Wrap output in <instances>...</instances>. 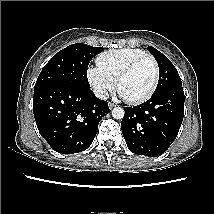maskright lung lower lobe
Returning a JSON list of instances; mask_svg holds the SVG:
<instances>
[{"mask_svg":"<svg viewBox=\"0 0 214 214\" xmlns=\"http://www.w3.org/2000/svg\"><path fill=\"white\" fill-rule=\"evenodd\" d=\"M109 111L108 103L91 89L63 83L34 88L33 113L38 130L59 153L86 150L96 136L100 119Z\"/></svg>","mask_w":214,"mask_h":214,"instance_id":"1","label":"right lung lower lobe"}]
</instances>
